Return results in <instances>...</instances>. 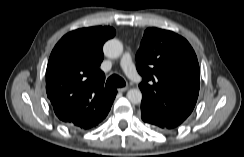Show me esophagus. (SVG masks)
Masks as SVG:
<instances>
[{
    "label": "esophagus",
    "mask_w": 244,
    "mask_h": 157,
    "mask_svg": "<svg viewBox=\"0 0 244 157\" xmlns=\"http://www.w3.org/2000/svg\"><path fill=\"white\" fill-rule=\"evenodd\" d=\"M129 88L128 87H121V88H118V92H125L127 91Z\"/></svg>",
    "instance_id": "1"
}]
</instances>
